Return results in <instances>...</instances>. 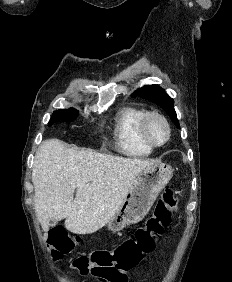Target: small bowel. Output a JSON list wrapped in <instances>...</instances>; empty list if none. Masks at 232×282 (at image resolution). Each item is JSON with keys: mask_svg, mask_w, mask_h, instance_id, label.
Returning a JSON list of instances; mask_svg holds the SVG:
<instances>
[{"mask_svg": "<svg viewBox=\"0 0 232 282\" xmlns=\"http://www.w3.org/2000/svg\"><path fill=\"white\" fill-rule=\"evenodd\" d=\"M99 282H129L127 271L117 269L111 275L106 277L96 278Z\"/></svg>", "mask_w": 232, "mask_h": 282, "instance_id": "small-bowel-1", "label": "small bowel"}]
</instances>
